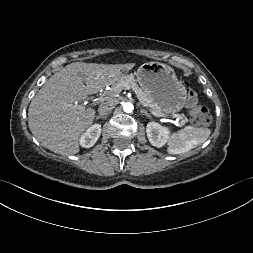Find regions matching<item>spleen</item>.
<instances>
[{"label": "spleen", "mask_w": 253, "mask_h": 253, "mask_svg": "<svg viewBox=\"0 0 253 253\" xmlns=\"http://www.w3.org/2000/svg\"><path fill=\"white\" fill-rule=\"evenodd\" d=\"M210 134L211 131L208 128L186 126L171 135L167 151L169 154L189 152L191 149L203 144Z\"/></svg>", "instance_id": "1"}]
</instances>
